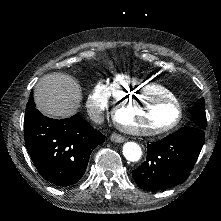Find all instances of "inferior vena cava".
Segmentation results:
<instances>
[{
  "label": "inferior vena cava",
  "mask_w": 221,
  "mask_h": 221,
  "mask_svg": "<svg viewBox=\"0 0 221 221\" xmlns=\"http://www.w3.org/2000/svg\"><path fill=\"white\" fill-rule=\"evenodd\" d=\"M94 122L97 124H102L104 122V113L102 110H98V114L96 118H94Z\"/></svg>",
  "instance_id": "1"
}]
</instances>
